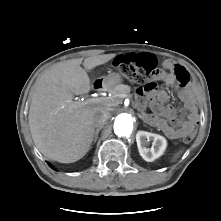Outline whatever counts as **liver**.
Segmentation results:
<instances>
[{
  "label": "liver",
  "instance_id": "obj_1",
  "mask_svg": "<svg viewBox=\"0 0 221 221\" xmlns=\"http://www.w3.org/2000/svg\"><path fill=\"white\" fill-rule=\"evenodd\" d=\"M115 54L58 62L45 70L35 84L28 122L39 151L60 163H73L90 149L94 139V117L108 111L102 105L74 102V95L87 94L91 80L87 71L105 64Z\"/></svg>",
  "mask_w": 221,
  "mask_h": 221
}]
</instances>
